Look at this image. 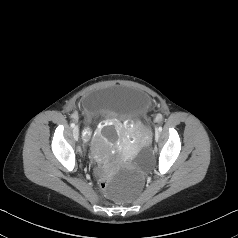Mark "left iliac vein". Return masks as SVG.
<instances>
[{"label": "left iliac vein", "mask_w": 238, "mask_h": 238, "mask_svg": "<svg viewBox=\"0 0 238 238\" xmlns=\"http://www.w3.org/2000/svg\"><path fill=\"white\" fill-rule=\"evenodd\" d=\"M160 138V132L158 130L155 131V140Z\"/></svg>", "instance_id": "1"}]
</instances>
